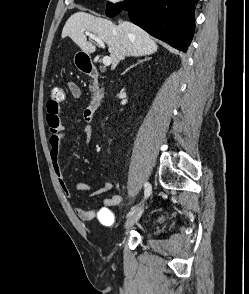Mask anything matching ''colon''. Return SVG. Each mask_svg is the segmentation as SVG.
Wrapping results in <instances>:
<instances>
[{"label":"colon","instance_id":"obj_1","mask_svg":"<svg viewBox=\"0 0 249 294\" xmlns=\"http://www.w3.org/2000/svg\"><path fill=\"white\" fill-rule=\"evenodd\" d=\"M65 99L64 90L61 87L55 86L51 90L49 103L53 106H57Z\"/></svg>","mask_w":249,"mask_h":294}]
</instances>
